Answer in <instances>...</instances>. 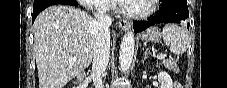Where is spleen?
<instances>
[{
  "instance_id": "1",
  "label": "spleen",
  "mask_w": 227,
  "mask_h": 88,
  "mask_svg": "<svg viewBox=\"0 0 227 88\" xmlns=\"http://www.w3.org/2000/svg\"><path fill=\"white\" fill-rule=\"evenodd\" d=\"M163 39L173 54L185 53L189 46V33L184 27L167 24L163 27Z\"/></svg>"
}]
</instances>
